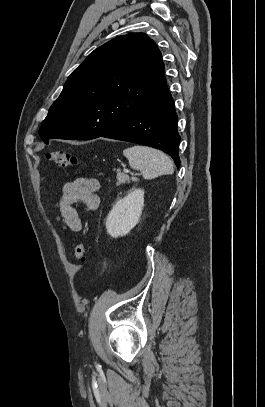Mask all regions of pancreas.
<instances>
[{
    "instance_id": "obj_1",
    "label": "pancreas",
    "mask_w": 265,
    "mask_h": 407,
    "mask_svg": "<svg viewBox=\"0 0 265 407\" xmlns=\"http://www.w3.org/2000/svg\"><path fill=\"white\" fill-rule=\"evenodd\" d=\"M116 178H117V183H116L117 186L130 182L129 176L127 174H124V173H121V172L117 173ZM131 181L137 182L138 179L136 177H132Z\"/></svg>"
}]
</instances>
